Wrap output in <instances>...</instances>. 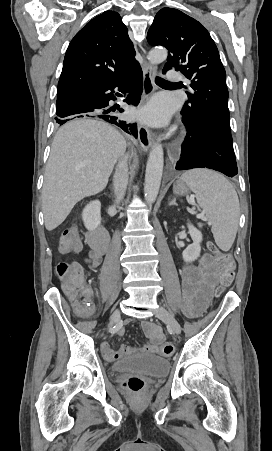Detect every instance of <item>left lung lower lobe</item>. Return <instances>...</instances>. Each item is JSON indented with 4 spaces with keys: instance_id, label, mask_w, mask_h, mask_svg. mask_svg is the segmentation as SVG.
I'll list each match as a JSON object with an SVG mask.
<instances>
[{
    "instance_id": "left-lung-lower-lobe-1",
    "label": "left lung lower lobe",
    "mask_w": 272,
    "mask_h": 451,
    "mask_svg": "<svg viewBox=\"0 0 272 451\" xmlns=\"http://www.w3.org/2000/svg\"><path fill=\"white\" fill-rule=\"evenodd\" d=\"M163 73L165 71L163 70ZM182 146V158L177 162V170L210 168L228 177L237 174V163L233 150L231 132L214 121L189 122Z\"/></svg>"
}]
</instances>
